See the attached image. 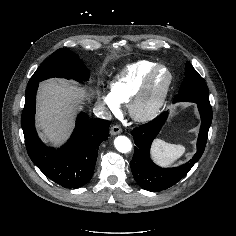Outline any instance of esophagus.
Segmentation results:
<instances>
[{"instance_id":"1","label":"esophagus","mask_w":236,"mask_h":236,"mask_svg":"<svg viewBox=\"0 0 236 236\" xmlns=\"http://www.w3.org/2000/svg\"><path fill=\"white\" fill-rule=\"evenodd\" d=\"M121 132H122V129L119 125H113L110 129L111 135H117V134H120Z\"/></svg>"}]
</instances>
